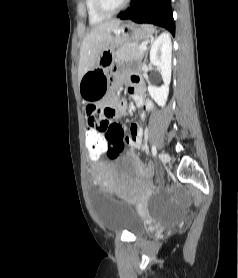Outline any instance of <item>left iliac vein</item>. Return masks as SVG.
I'll return each instance as SVG.
<instances>
[{
  "mask_svg": "<svg viewBox=\"0 0 238 278\" xmlns=\"http://www.w3.org/2000/svg\"><path fill=\"white\" fill-rule=\"evenodd\" d=\"M160 158L162 160L163 163H168L170 160V157L168 154L166 153H160Z\"/></svg>",
  "mask_w": 238,
  "mask_h": 278,
  "instance_id": "1",
  "label": "left iliac vein"
}]
</instances>
